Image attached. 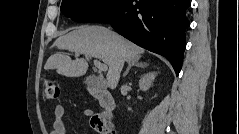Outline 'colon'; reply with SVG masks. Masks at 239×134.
<instances>
[{
    "mask_svg": "<svg viewBox=\"0 0 239 134\" xmlns=\"http://www.w3.org/2000/svg\"><path fill=\"white\" fill-rule=\"evenodd\" d=\"M44 96L49 100H55L59 97L60 90L58 85L51 78L45 77L42 81ZM92 127L100 134H114V124L104 118L102 115H93L91 118Z\"/></svg>",
    "mask_w": 239,
    "mask_h": 134,
    "instance_id": "1",
    "label": "colon"
}]
</instances>
